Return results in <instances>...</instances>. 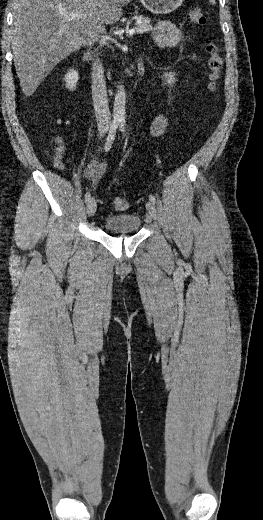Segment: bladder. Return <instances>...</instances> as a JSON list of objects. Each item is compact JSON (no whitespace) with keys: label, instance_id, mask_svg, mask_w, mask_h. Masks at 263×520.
Here are the masks:
<instances>
[{"label":"bladder","instance_id":"31cf9c89","mask_svg":"<svg viewBox=\"0 0 263 520\" xmlns=\"http://www.w3.org/2000/svg\"><path fill=\"white\" fill-rule=\"evenodd\" d=\"M141 218L136 213L112 214L105 217L104 229L111 234L136 233L141 228Z\"/></svg>","mask_w":263,"mask_h":520}]
</instances>
